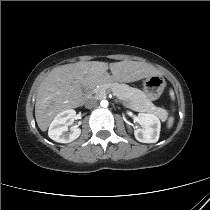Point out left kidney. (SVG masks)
I'll return each instance as SVG.
<instances>
[{"label": "left kidney", "mask_w": 210, "mask_h": 210, "mask_svg": "<svg viewBox=\"0 0 210 210\" xmlns=\"http://www.w3.org/2000/svg\"><path fill=\"white\" fill-rule=\"evenodd\" d=\"M137 122L142 126L134 130L136 140L142 143H156L159 139L161 123L159 118L150 113H139Z\"/></svg>", "instance_id": "1"}]
</instances>
